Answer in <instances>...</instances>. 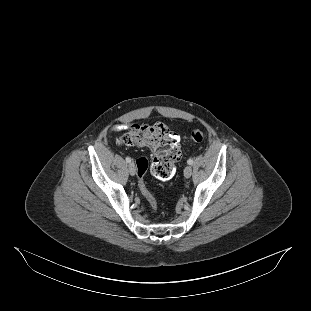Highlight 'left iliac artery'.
Returning <instances> with one entry per match:
<instances>
[{
  "mask_svg": "<svg viewBox=\"0 0 311 311\" xmlns=\"http://www.w3.org/2000/svg\"><path fill=\"white\" fill-rule=\"evenodd\" d=\"M187 163H188L189 165L193 164V159H188Z\"/></svg>",
  "mask_w": 311,
  "mask_h": 311,
  "instance_id": "1",
  "label": "left iliac artery"
}]
</instances>
